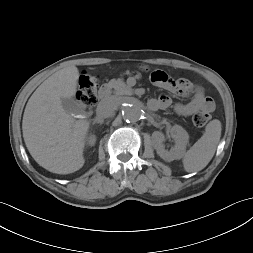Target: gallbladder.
Returning <instances> with one entry per match:
<instances>
[{
	"label": "gallbladder",
	"mask_w": 253,
	"mask_h": 253,
	"mask_svg": "<svg viewBox=\"0 0 253 253\" xmlns=\"http://www.w3.org/2000/svg\"><path fill=\"white\" fill-rule=\"evenodd\" d=\"M61 104L68 114L77 115L80 113L79 104L73 98H61Z\"/></svg>",
	"instance_id": "gallbladder-1"
}]
</instances>
